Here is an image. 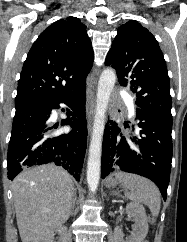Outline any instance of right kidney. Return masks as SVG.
Returning a JSON list of instances; mask_svg holds the SVG:
<instances>
[{"label": "right kidney", "instance_id": "ca27d5eb", "mask_svg": "<svg viewBox=\"0 0 187 242\" xmlns=\"http://www.w3.org/2000/svg\"><path fill=\"white\" fill-rule=\"evenodd\" d=\"M63 230V228H62ZM54 239V234L53 232L48 233L47 235H45V237L40 241V242H52Z\"/></svg>", "mask_w": 187, "mask_h": 242}]
</instances>
